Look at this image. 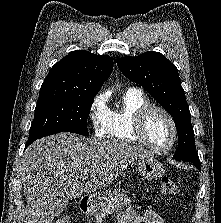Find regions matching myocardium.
<instances>
[{"mask_svg":"<svg viewBox=\"0 0 221 223\" xmlns=\"http://www.w3.org/2000/svg\"><path fill=\"white\" fill-rule=\"evenodd\" d=\"M154 111H159L163 113L167 119L169 120L172 131L173 137L171 142L166 146H157L152 144L146 137L145 129H146V122L151 113ZM132 134L139 141L142 145L146 146L148 149L158 152H166L172 149L178 141L179 137V130L175 118L173 115L164 107L158 105H147L141 108L135 115L134 123L132 125Z\"/></svg>","mask_w":221,"mask_h":223,"instance_id":"obj_1","label":"myocardium"}]
</instances>
